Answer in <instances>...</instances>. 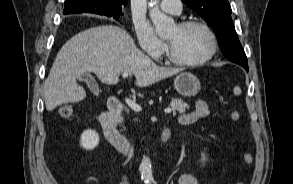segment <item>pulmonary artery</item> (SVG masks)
Wrapping results in <instances>:
<instances>
[{"instance_id":"obj_1","label":"pulmonary artery","mask_w":293,"mask_h":184,"mask_svg":"<svg viewBox=\"0 0 293 184\" xmlns=\"http://www.w3.org/2000/svg\"><path fill=\"white\" fill-rule=\"evenodd\" d=\"M160 8L169 14L179 15L182 12L181 0H162Z\"/></svg>"}]
</instances>
